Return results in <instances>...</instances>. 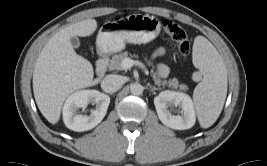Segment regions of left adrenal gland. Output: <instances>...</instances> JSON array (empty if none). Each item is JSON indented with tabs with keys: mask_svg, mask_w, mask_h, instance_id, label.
Here are the masks:
<instances>
[{
	"mask_svg": "<svg viewBox=\"0 0 267 166\" xmlns=\"http://www.w3.org/2000/svg\"><path fill=\"white\" fill-rule=\"evenodd\" d=\"M148 86L150 87L151 92H153L154 90H160V88H157L155 86H151L150 84H148Z\"/></svg>",
	"mask_w": 267,
	"mask_h": 166,
	"instance_id": "obj_1",
	"label": "left adrenal gland"
}]
</instances>
